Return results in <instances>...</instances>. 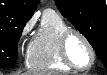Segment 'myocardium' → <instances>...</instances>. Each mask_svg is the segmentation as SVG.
<instances>
[{"mask_svg": "<svg viewBox=\"0 0 107 75\" xmlns=\"http://www.w3.org/2000/svg\"><path fill=\"white\" fill-rule=\"evenodd\" d=\"M76 35L80 37L84 43L87 45L90 54H91V61L87 66H78L76 65L70 58L69 53H68V41L71 36ZM59 51H60V56L62 58V61L71 69L78 70V71H87L91 69L96 61V52L95 49L90 42V40L79 30L68 28L66 29L59 40Z\"/></svg>", "mask_w": 107, "mask_h": 75, "instance_id": "obj_1", "label": "myocardium"}]
</instances>
